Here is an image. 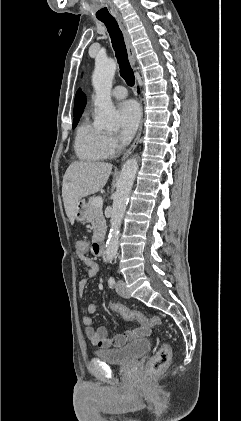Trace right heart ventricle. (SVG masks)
<instances>
[{
  "label": "right heart ventricle",
  "instance_id": "1",
  "mask_svg": "<svg viewBox=\"0 0 241 421\" xmlns=\"http://www.w3.org/2000/svg\"><path fill=\"white\" fill-rule=\"evenodd\" d=\"M103 133L83 120L76 131L75 152L77 156L85 161H101L109 157L104 143Z\"/></svg>",
  "mask_w": 241,
  "mask_h": 421
}]
</instances>
